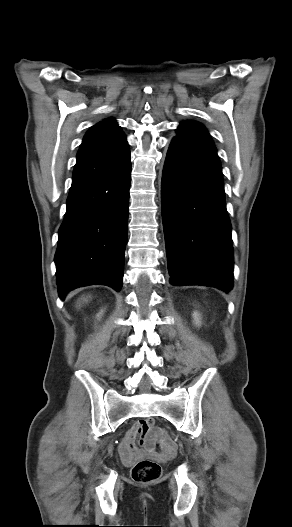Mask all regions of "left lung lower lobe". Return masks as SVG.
Masks as SVG:
<instances>
[{"label": "left lung lower lobe", "mask_w": 292, "mask_h": 527, "mask_svg": "<svg viewBox=\"0 0 292 527\" xmlns=\"http://www.w3.org/2000/svg\"><path fill=\"white\" fill-rule=\"evenodd\" d=\"M161 204L170 283L229 292L231 224L216 151L172 141L163 168Z\"/></svg>", "instance_id": "0a47b994"}]
</instances>
